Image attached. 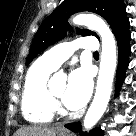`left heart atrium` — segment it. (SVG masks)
Listing matches in <instances>:
<instances>
[{
  "mask_svg": "<svg viewBox=\"0 0 136 136\" xmlns=\"http://www.w3.org/2000/svg\"><path fill=\"white\" fill-rule=\"evenodd\" d=\"M92 86V75L87 66L73 69L62 97L64 104L70 109L83 107L91 96Z\"/></svg>",
  "mask_w": 136,
  "mask_h": 136,
  "instance_id": "left-heart-atrium-1",
  "label": "left heart atrium"
}]
</instances>
